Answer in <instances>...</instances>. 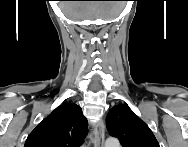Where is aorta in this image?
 Segmentation results:
<instances>
[{"label":"aorta","instance_id":"aorta-1","mask_svg":"<svg viewBox=\"0 0 188 147\" xmlns=\"http://www.w3.org/2000/svg\"><path fill=\"white\" fill-rule=\"evenodd\" d=\"M120 143L118 139L110 137L105 141V147H119Z\"/></svg>","mask_w":188,"mask_h":147}]
</instances>
